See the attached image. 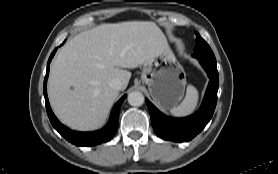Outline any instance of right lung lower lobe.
Masks as SVG:
<instances>
[{
	"label": "right lung lower lobe",
	"instance_id": "98d812e1",
	"mask_svg": "<svg viewBox=\"0 0 278 174\" xmlns=\"http://www.w3.org/2000/svg\"><path fill=\"white\" fill-rule=\"evenodd\" d=\"M56 50L57 48L53 51V53L49 58L47 73L44 80V97L46 103V110L51 124L64 138H66L69 142L77 146H93L111 140V138L114 136L115 132L117 131L119 111H120L121 104L125 99L126 95H124L115 104L108 124L101 130L94 131V132H77L68 129L63 124H61L56 118V116L53 114L47 97L46 85H47V78L49 75V63L51 62V59L54 56Z\"/></svg>",
	"mask_w": 278,
	"mask_h": 174
}]
</instances>
